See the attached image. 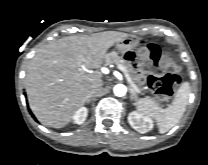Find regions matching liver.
I'll list each match as a JSON object with an SVG mask.
<instances>
[{
	"label": "liver",
	"instance_id": "liver-1",
	"mask_svg": "<svg viewBox=\"0 0 208 165\" xmlns=\"http://www.w3.org/2000/svg\"><path fill=\"white\" fill-rule=\"evenodd\" d=\"M127 37L117 31L74 35L41 49L25 78L29 105L37 119L54 128L66 126L85 104L89 86L102 81L99 68L107 50Z\"/></svg>",
	"mask_w": 208,
	"mask_h": 165
}]
</instances>
